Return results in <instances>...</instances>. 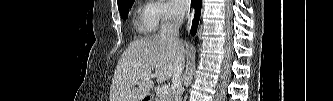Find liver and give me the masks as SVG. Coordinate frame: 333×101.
Instances as JSON below:
<instances>
[{"label":"liver","mask_w":333,"mask_h":101,"mask_svg":"<svg viewBox=\"0 0 333 101\" xmlns=\"http://www.w3.org/2000/svg\"><path fill=\"white\" fill-rule=\"evenodd\" d=\"M174 63V51L160 34L133 41L117 63L110 101H142L154 85L143 75L155 71L157 82H163L173 75Z\"/></svg>","instance_id":"6515ba94"}]
</instances>
